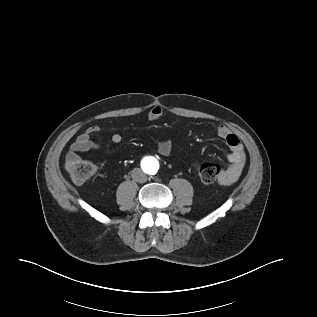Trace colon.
Listing matches in <instances>:
<instances>
[{
    "label": "colon",
    "instance_id": "5ec220e1",
    "mask_svg": "<svg viewBox=\"0 0 317 317\" xmlns=\"http://www.w3.org/2000/svg\"><path fill=\"white\" fill-rule=\"evenodd\" d=\"M67 168L72 180L77 184L86 182L95 173L94 164L81 159L68 161ZM196 172L204 184H211L218 178L220 168L214 163L205 162L196 166Z\"/></svg>",
    "mask_w": 317,
    "mask_h": 317
}]
</instances>
